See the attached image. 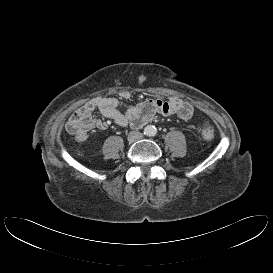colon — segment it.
Returning <instances> with one entry per match:
<instances>
[{"mask_svg":"<svg viewBox=\"0 0 273 273\" xmlns=\"http://www.w3.org/2000/svg\"><path fill=\"white\" fill-rule=\"evenodd\" d=\"M201 132L205 139L211 140L214 138L215 135L214 128L209 123L203 125Z\"/></svg>","mask_w":273,"mask_h":273,"instance_id":"colon-1","label":"colon"}]
</instances>
